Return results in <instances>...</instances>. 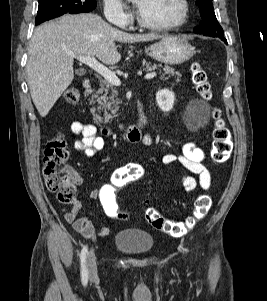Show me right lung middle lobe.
<instances>
[{"instance_id":"right-lung-middle-lobe-1","label":"right lung middle lobe","mask_w":267,"mask_h":301,"mask_svg":"<svg viewBox=\"0 0 267 301\" xmlns=\"http://www.w3.org/2000/svg\"><path fill=\"white\" fill-rule=\"evenodd\" d=\"M38 13L35 24L59 17L64 13L89 12L96 8L95 0H38Z\"/></svg>"}]
</instances>
